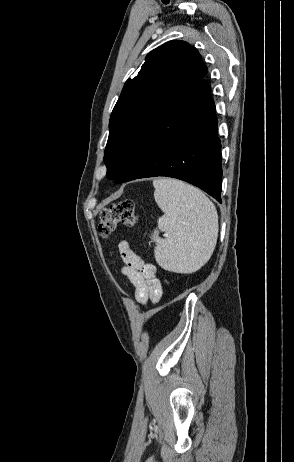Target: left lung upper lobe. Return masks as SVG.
I'll return each instance as SVG.
<instances>
[{
    "label": "left lung upper lobe",
    "instance_id": "left-lung-upper-lobe-1",
    "mask_svg": "<svg viewBox=\"0 0 294 462\" xmlns=\"http://www.w3.org/2000/svg\"><path fill=\"white\" fill-rule=\"evenodd\" d=\"M196 48L173 40L151 51L138 75L126 81L112 111L104 152L107 178L119 172L127 154L157 109L173 102L190 82L207 74Z\"/></svg>",
    "mask_w": 294,
    "mask_h": 462
}]
</instances>
